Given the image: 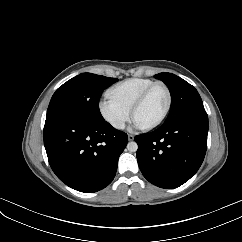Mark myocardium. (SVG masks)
I'll return each mask as SVG.
<instances>
[{
	"label": "myocardium",
	"instance_id": "f54148a6",
	"mask_svg": "<svg viewBox=\"0 0 242 242\" xmlns=\"http://www.w3.org/2000/svg\"><path fill=\"white\" fill-rule=\"evenodd\" d=\"M156 87H162L165 90L166 96H167V102H166L165 109H164L162 115L160 116V118L156 122L143 127L146 130L155 129L166 120V118L170 112L171 105H172V93H171L170 88L164 82H160V81L154 82L138 96V98L134 101V103L131 107V110H130L131 117H132V119H134V115H135L137 109L144 103L146 98L149 96V94L152 92V90L155 89Z\"/></svg>",
	"mask_w": 242,
	"mask_h": 242
}]
</instances>
